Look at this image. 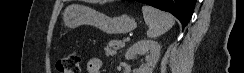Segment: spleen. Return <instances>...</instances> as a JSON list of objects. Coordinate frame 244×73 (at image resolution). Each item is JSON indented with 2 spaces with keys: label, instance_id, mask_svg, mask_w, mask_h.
Wrapping results in <instances>:
<instances>
[{
  "label": "spleen",
  "instance_id": "obj_1",
  "mask_svg": "<svg viewBox=\"0 0 244 73\" xmlns=\"http://www.w3.org/2000/svg\"><path fill=\"white\" fill-rule=\"evenodd\" d=\"M142 13L145 23L149 29L147 36L149 38H157L166 33L175 24L171 14L160 11L154 7L144 5Z\"/></svg>",
  "mask_w": 244,
  "mask_h": 73
}]
</instances>
